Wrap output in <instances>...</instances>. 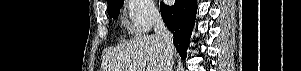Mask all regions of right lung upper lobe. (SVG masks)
Returning <instances> with one entry per match:
<instances>
[{
	"mask_svg": "<svg viewBox=\"0 0 301 71\" xmlns=\"http://www.w3.org/2000/svg\"><path fill=\"white\" fill-rule=\"evenodd\" d=\"M110 1H112V0H107V3H109Z\"/></svg>",
	"mask_w": 301,
	"mask_h": 71,
	"instance_id": "1",
	"label": "right lung upper lobe"
}]
</instances>
